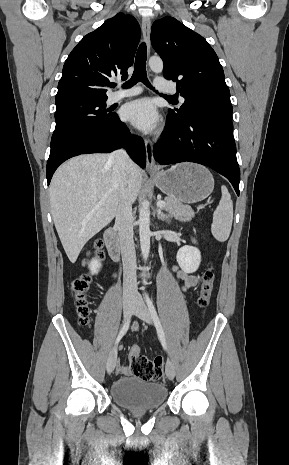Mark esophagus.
Segmentation results:
<instances>
[{
	"label": "esophagus",
	"instance_id": "esophagus-1",
	"mask_svg": "<svg viewBox=\"0 0 289 465\" xmlns=\"http://www.w3.org/2000/svg\"><path fill=\"white\" fill-rule=\"evenodd\" d=\"M150 32L151 21L148 17H144L142 19V34L148 50L150 49ZM144 143L146 150V169L148 171H156L158 168L153 154V143L149 139H145Z\"/></svg>",
	"mask_w": 289,
	"mask_h": 465
}]
</instances>
